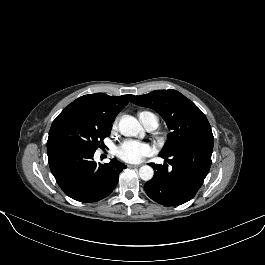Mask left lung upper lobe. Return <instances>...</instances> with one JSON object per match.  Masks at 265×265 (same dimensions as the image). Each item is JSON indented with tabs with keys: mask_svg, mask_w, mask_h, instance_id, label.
<instances>
[{
	"mask_svg": "<svg viewBox=\"0 0 265 265\" xmlns=\"http://www.w3.org/2000/svg\"><path fill=\"white\" fill-rule=\"evenodd\" d=\"M132 98V103L158 112L168 127L172 129L161 153H172L188 140L202 134L212 133L204 113L176 90H156Z\"/></svg>",
	"mask_w": 265,
	"mask_h": 265,
	"instance_id": "5c2ea615",
	"label": "left lung upper lobe"
}]
</instances>
